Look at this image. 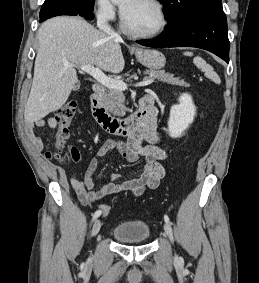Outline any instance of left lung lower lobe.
Returning a JSON list of instances; mask_svg holds the SVG:
<instances>
[{"instance_id": "0a47b994", "label": "left lung lower lobe", "mask_w": 259, "mask_h": 283, "mask_svg": "<svg viewBox=\"0 0 259 283\" xmlns=\"http://www.w3.org/2000/svg\"><path fill=\"white\" fill-rule=\"evenodd\" d=\"M149 47H196L210 51L229 63L227 19L222 4L203 8L181 23L166 28L158 39L139 40Z\"/></svg>"}]
</instances>
